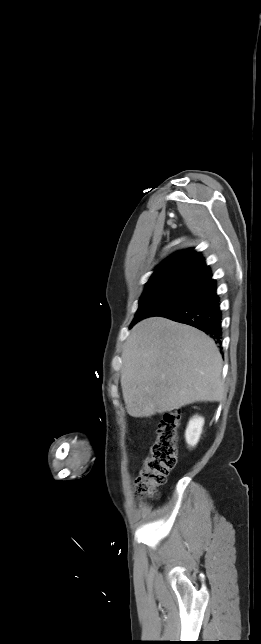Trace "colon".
I'll use <instances>...</instances> for the list:
<instances>
[{
    "label": "colon",
    "mask_w": 261,
    "mask_h": 644,
    "mask_svg": "<svg viewBox=\"0 0 261 644\" xmlns=\"http://www.w3.org/2000/svg\"><path fill=\"white\" fill-rule=\"evenodd\" d=\"M181 414L177 410L166 412L157 429V437L148 456L143 460L134 483L138 496L152 497L164 484L177 460L178 432Z\"/></svg>",
    "instance_id": "colon-1"
}]
</instances>
